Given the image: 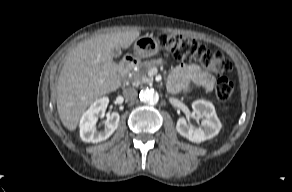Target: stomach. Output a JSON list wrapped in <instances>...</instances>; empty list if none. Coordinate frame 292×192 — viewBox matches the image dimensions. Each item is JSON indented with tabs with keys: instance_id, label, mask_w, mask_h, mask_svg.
<instances>
[{
	"instance_id": "obj_1",
	"label": "stomach",
	"mask_w": 292,
	"mask_h": 192,
	"mask_svg": "<svg viewBox=\"0 0 292 192\" xmlns=\"http://www.w3.org/2000/svg\"><path fill=\"white\" fill-rule=\"evenodd\" d=\"M159 49V41L153 36L145 35L135 41L134 55L138 58H148L156 55Z\"/></svg>"
}]
</instances>
